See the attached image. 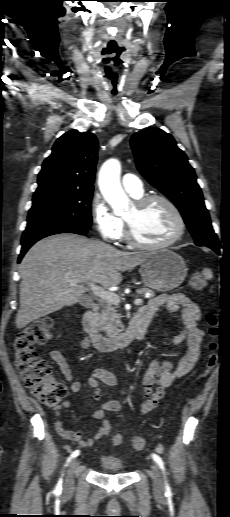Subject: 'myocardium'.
Here are the masks:
<instances>
[{
	"label": "myocardium",
	"mask_w": 230,
	"mask_h": 517,
	"mask_svg": "<svg viewBox=\"0 0 230 517\" xmlns=\"http://www.w3.org/2000/svg\"><path fill=\"white\" fill-rule=\"evenodd\" d=\"M153 201H161L170 209V211L172 212V214L175 217V220L177 223V230L168 240H166L164 242L145 243L136 237L134 230H133V226L131 225V223L128 220L124 219L125 227H126L125 238H126L127 242L133 247H136L139 249H144V250H155V249L166 248V247H169V246L175 244L177 241H179L185 233V229H186L185 219H184L182 213L180 212L179 208L168 197H166L162 194H151V195L142 196L136 200L135 206L137 208L141 209Z\"/></svg>",
	"instance_id": "myocardium-1"
}]
</instances>
